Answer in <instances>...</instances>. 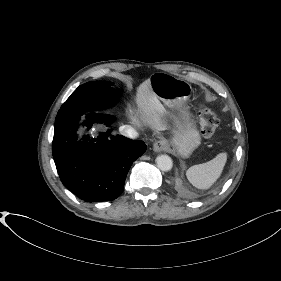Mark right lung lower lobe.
Listing matches in <instances>:
<instances>
[{"label": "right lung lower lobe", "instance_id": "1", "mask_svg": "<svg viewBox=\"0 0 281 281\" xmlns=\"http://www.w3.org/2000/svg\"><path fill=\"white\" fill-rule=\"evenodd\" d=\"M82 113H73L55 123L52 143L53 158L63 185L86 202L114 200L124 190L132 163L147 146L143 141L122 135L110 136V130L97 138L78 139L76 134ZM112 115L90 112L84 121L110 124Z\"/></svg>", "mask_w": 281, "mask_h": 281}]
</instances>
